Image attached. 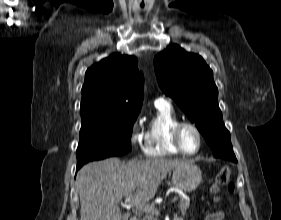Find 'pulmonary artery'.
<instances>
[{
    "label": "pulmonary artery",
    "instance_id": "e3ab8cb5",
    "mask_svg": "<svg viewBox=\"0 0 281 220\" xmlns=\"http://www.w3.org/2000/svg\"><path fill=\"white\" fill-rule=\"evenodd\" d=\"M156 102H166V103H168V100L160 97L156 100Z\"/></svg>",
    "mask_w": 281,
    "mask_h": 220
}]
</instances>
